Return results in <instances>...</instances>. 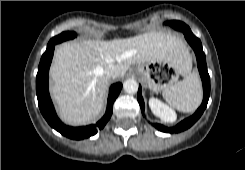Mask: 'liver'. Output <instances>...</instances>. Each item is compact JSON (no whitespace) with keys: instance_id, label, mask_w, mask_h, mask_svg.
Here are the masks:
<instances>
[{"instance_id":"liver-1","label":"liver","mask_w":245,"mask_h":170,"mask_svg":"<svg viewBox=\"0 0 245 170\" xmlns=\"http://www.w3.org/2000/svg\"><path fill=\"white\" fill-rule=\"evenodd\" d=\"M169 60L181 75L191 70L183 42L166 32H148L111 41L81 40L59 45L50 68V86L60 118L69 125H84L103 109L109 78L104 70L114 65L123 77L132 64Z\"/></svg>"}]
</instances>
